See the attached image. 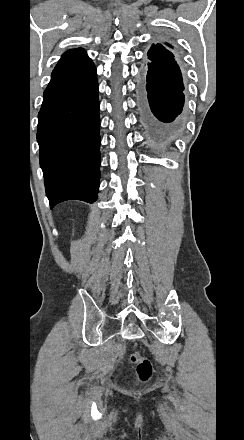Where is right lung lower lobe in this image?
I'll return each mask as SVG.
<instances>
[{
  "label": "right lung lower lobe",
  "instance_id": "98d812e1",
  "mask_svg": "<svg viewBox=\"0 0 244 440\" xmlns=\"http://www.w3.org/2000/svg\"><path fill=\"white\" fill-rule=\"evenodd\" d=\"M98 83L93 63L55 67L38 115L37 141L50 207L93 203L100 179Z\"/></svg>",
  "mask_w": 244,
  "mask_h": 440
}]
</instances>
